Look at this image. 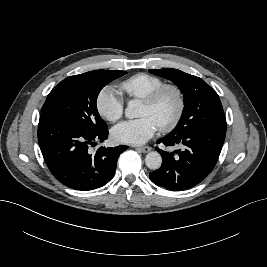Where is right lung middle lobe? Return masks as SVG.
Listing matches in <instances>:
<instances>
[{
	"label": "right lung middle lobe",
	"instance_id": "dd1d6c3e",
	"mask_svg": "<svg viewBox=\"0 0 267 267\" xmlns=\"http://www.w3.org/2000/svg\"><path fill=\"white\" fill-rule=\"evenodd\" d=\"M126 73L95 70L70 76L49 93L41 114L55 116L90 132L104 131L108 128L96 107L98 94L106 84Z\"/></svg>",
	"mask_w": 267,
	"mask_h": 267
}]
</instances>
